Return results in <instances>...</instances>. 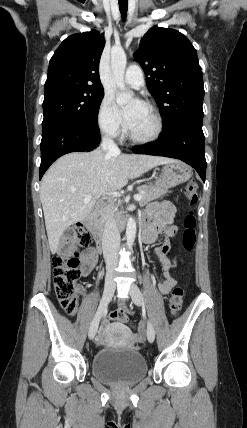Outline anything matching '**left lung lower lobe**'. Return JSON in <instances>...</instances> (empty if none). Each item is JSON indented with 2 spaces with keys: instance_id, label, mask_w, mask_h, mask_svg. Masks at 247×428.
Here are the masks:
<instances>
[{
  "instance_id": "obj_1",
  "label": "left lung lower lobe",
  "mask_w": 247,
  "mask_h": 428,
  "mask_svg": "<svg viewBox=\"0 0 247 428\" xmlns=\"http://www.w3.org/2000/svg\"><path fill=\"white\" fill-rule=\"evenodd\" d=\"M200 117L180 118L165 126L161 139L152 144L136 146V154L176 158L192 166L205 182V137Z\"/></svg>"
}]
</instances>
